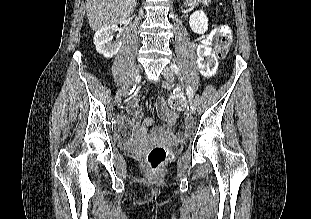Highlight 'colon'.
Segmentation results:
<instances>
[{"label": "colon", "mask_w": 311, "mask_h": 219, "mask_svg": "<svg viewBox=\"0 0 311 219\" xmlns=\"http://www.w3.org/2000/svg\"><path fill=\"white\" fill-rule=\"evenodd\" d=\"M209 41L214 46V52H211L205 44L198 48V60L204 72L211 75L214 71L218 59H223L229 52L232 43V33L227 25L217 26L209 37ZM173 107H178V101L175 98L170 99ZM169 114H174L169 112ZM126 126H122L121 133H124ZM171 152L165 146L153 147L146 156L147 165L152 172L159 171L165 162L170 158Z\"/></svg>", "instance_id": "5ec220e1"}]
</instances>
